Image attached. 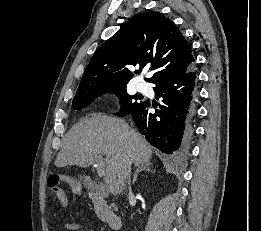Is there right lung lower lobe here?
I'll use <instances>...</instances> for the list:
<instances>
[{"label":"right lung lower lobe","mask_w":261,"mask_h":231,"mask_svg":"<svg viewBox=\"0 0 261 231\" xmlns=\"http://www.w3.org/2000/svg\"><path fill=\"white\" fill-rule=\"evenodd\" d=\"M155 85L156 96L163 99L160 109L151 113L152 105L146 100L127 115L132 116L154 147L165 154H180L185 151L191 133L190 118L197 90L194 66L181 75L161 79Z\"/></svg>","instance_id":"right-lung-lower-lobe-1"}]
</instances>
